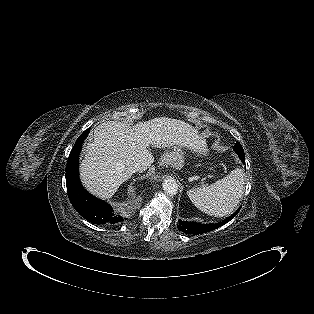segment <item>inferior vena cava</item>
I'll return each mask as SVG.
<instances>
[{
  "mask_svg": "<svg viewBox=\"0 0 314 314\" xmlns=\"http://www.w3.org/2000/svg\"><path fill=\"white\" fill-rule=\"evenodd\" d=\"M143 170V166L139 163H132L127 167V172L131 175L136 172H142Z\"/></svg>",
  "mask_w": 314,
  "mask_h": 314,
  "instance_id": "inferior-vena-cava-1",
  "label": "inferior vena cava"
}]
</instances>
